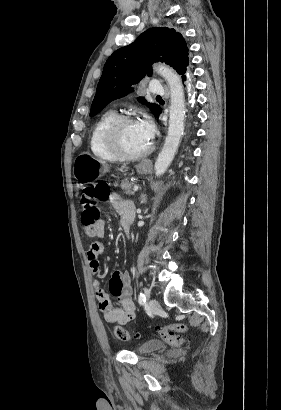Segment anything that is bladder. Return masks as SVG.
Instances as JSON below:
<instances>
[{
    "instance_id": "obj_1",
    "label": "bladder",
    "mask_w": 281,
    "mask_h": 410,
    "mask_svg": "<svg viewBox=\"0 0 281 410\" xmlns=\"http://www.w3.org/2000/svg\"><path fill=\"white\" fill-rule=\"evenodd\" d=\"M164 347H165V344L161 341L149 340V341H146V342L140 344L137 347L136 352L138 354H149V353L159 351V350L163 349Z\"/></svg>"
}]
</instances>
